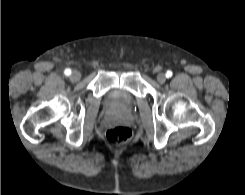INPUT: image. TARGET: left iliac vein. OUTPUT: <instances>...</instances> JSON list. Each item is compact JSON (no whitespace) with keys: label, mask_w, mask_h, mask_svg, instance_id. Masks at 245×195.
<instances>
[{"label":"left iliac vein","mask_w":245,"mask_h":195,"mask_svg":"<svg viewBox=\"0 0 245 195\" xmlns=\"http://www.w3.org/2000/svg\"><path fill=\"white\" fill-rule=\"evenodd\" d=\"M157 81L160 83V84H163L165 83L166 81V75L164 73H159L157 75Z\"/></svg>","instance_id":"left-iliac-vein-1"}]
</instances>
